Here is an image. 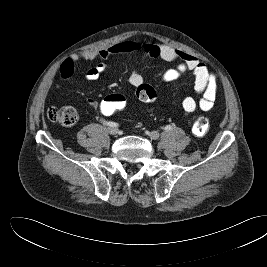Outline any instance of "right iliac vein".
I'll list each match as a JSON object with an SVG mask.
<instances>
[{
  "mask_svg": "<svg viewBox=\"0 0 267 267\" xmlns=\"http://www.w3.org/2000/svg\"><path fill=\"white\" fill-rule=\"evenodd\" d=\"M107 132L110 134V135H116L118 133V129L115 128V127H109L107 129Z\"/></svg>",
  "mask_w": 267,
  "mask_h": 267,
  "instance_id": "obj_1",
  "label": "right iliac vein"
}]
</instances>
